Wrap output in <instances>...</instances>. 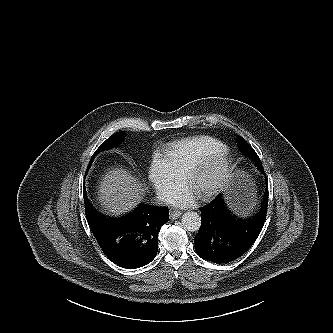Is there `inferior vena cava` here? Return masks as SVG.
Returning a JSON list of instances; mask_svg holds the SVG:
<instances>
[{
  "instance_id": "1",
  "label": "inferior vena cava",
  "mask_w": 333,
  "mask_h": 333,
  "mask_svg": "<svg viewBox=\"0 0 333 333\" xmlns=\"http://www.w3.org/2000/svg\"><path fill=\"white\" fill-rule=\"evenodd\" d=\"M157 199L162 202H168L169 200L172 199V196L168 192L161 191L157 193Z\"/></svg>"
}]
</instances>
